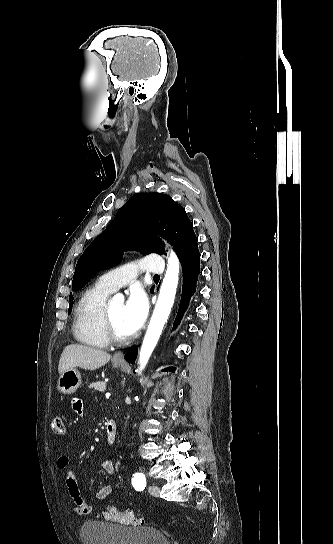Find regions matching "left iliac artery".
<instances>
[{
    "mask_svg": "<svg viewBox=\"0 0 333 544\" xmlns=\"http://www.w3.org/2000/svg\"><path fill=\"white\" fill-rule=\"evenodd\" d=\"M131 482L134 489L137 491L144 490L146 487V478L143 473H135Z\"/></svg>",
    "mask_w": 333,
    "mask_h": 544,
    "instance_id": "obj_1",
    "label": "left iliac artery"
}]
</instances>
